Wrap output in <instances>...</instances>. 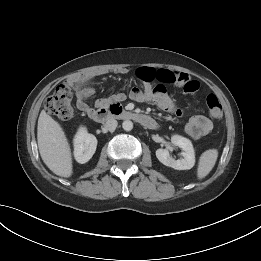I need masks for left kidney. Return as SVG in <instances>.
Returning <instances> with one entry per match:
<instances>
[{
  "instance_id": "left-kidney-1",
  "label": "left kidney",
  "mask_w": 261,
  "mask_h": 261,
  "mask_svg": "<svg viewBox=\"0 0 261 261\" xmlns=\"http://www.w3.org/2000/svg\"><path fill=\"white\" fill-rule=\"evenodd\" d=\"M171 143L183 150V158L175 160L170 156L168 149L159 148L156 150V157L158 160L162 164L176 170L191 169L195 164V152L191 141L180 135H173L171 137Z\"/></svg>"
}]
</instances>
